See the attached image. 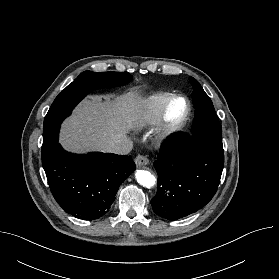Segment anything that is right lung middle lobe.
I'll use <instances>...</instances> for the list:
<instances>
[{
  "mask_svg": "<svg viewBox=\"0 0 279 279\" xmlns=\"http://www.w3.org/2000/svg\"><path fill=\"white\" fill-rule=\"evenodd\" d=\"M132 76L128 72H92L81 73L54 100L43 124V145L41 156H47L58 143L60 124L69 116L72 109L89 91L95 87H113L129 82Z\"/></svg>",
  "mask_w": 279,
  "mask_h": 279,
  "instance_id": "dd1d6c3e",
  "label": "right lung middle lobe"
}]
</instances>
